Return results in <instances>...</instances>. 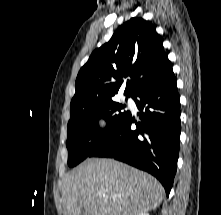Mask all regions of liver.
Masks as SVG:
<instances>
[{"mask_svg": "<svg viewBox=\"0 0 221 215\" xmlns=\"http://www.w3.org/2000/svg\"><path fill=\"white\" fill-rule=\"evenodd\" d=\"M164 189L150 174L112 159H87L63 183L65 215H138L156 209Z\"/></svg>", "mask_w": 221, "mask_h": 215, "instance_id": "6515ba94", "label": "liver"}]
</instances>
